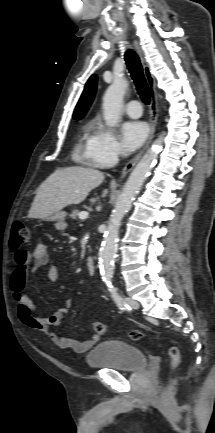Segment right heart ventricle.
Instances as JSON below:
<instances>
[{
	"mask_svg": "<svg viewBox=\"0 0 215 433\" xmlns=\"http://www.w3.org/2000/svg\"><path fill=\"white\" fill-rule=\"evenodd\" d=\"M95 129L92 125H88L75 149V158L90 165L98 166L91 157V148L93 145Z\"/></svg>",
	"mask_w": 215,
	"mask_h": 433,
	"instance_id": "1",
	"label": "right heart ventricle"
}]
</instances>
